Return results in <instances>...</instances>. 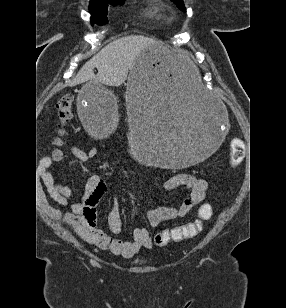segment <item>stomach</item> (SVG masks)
Listing matches in <instances>:
<instances>
[{
	"label": "stomach",
	"mask_w": 286,
	"mask_h": 308,
	"mask_svg": "<svg viewBox=\"0 0 286 308\" xmlns=\"http://www.w3.org/2000/svg\"><path fill=\"white\" fill-rule=\"evenodd\" d=\"M189 51L164 44L144 49L135 59L125 94L129 125L136 129L132 159L153 164L158 173L194 168L209 159L219 144H227L224 100L202 86V73L193 69ZM79 124L92 137L123 133L122 109L111 85L90 81L75 98Z\"/></svg>",
	"instance_id": "1"
}]
</instances>
